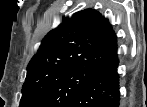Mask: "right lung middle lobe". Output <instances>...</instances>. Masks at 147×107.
Instances as JSON below:
<instances>
[{"label":"right lung middle lobe","instance_id":"1","mask_svg":"<svg viewBox=\"0 0 147 107\" xmlns=\"http://www.w3.org/2000/svg\"><path fill=\"white\" fill-rule=\"evenodd\" d=\"M98 70L79 67L27 76L19 107H64L88 85Z\"/></svg>","mask_w":147,"mask_h":107}]
</instances>
